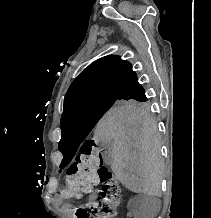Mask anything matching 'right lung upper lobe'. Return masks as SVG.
<instances>
[{
    "instance_id": "1",
    "label": "right lung upper lobe",
    "mask_w": 211,
    "mask_h": 218,
    "mask_svg": "<svg viewBox=\"0 0 211 218\" xmlns=\"http://www.w3.org/2000/svg\"><path fill=\"white\" fill-rule=\"evenodd\" d=\"M135 77L131 64L119 56L100 58L73 81L64 99V111L92 99L130 98L122 97L121 93Z\"/></svg>"
}]
</instances>
